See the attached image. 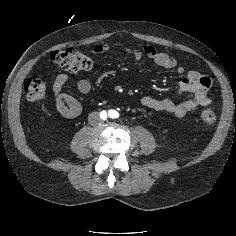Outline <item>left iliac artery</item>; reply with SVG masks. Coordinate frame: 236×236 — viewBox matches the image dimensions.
Segmentation results:
<instances>
[{
	"label": "left iliac artery",
	"instance_id": "1",
	"mask_svg": "<svg viewBox=\"0 0 236 236\" xmlns=\"http://www.w3.org/2000/svg\"><path fill=\"white\" fill-rule=\"evenodd\" d=\"M109 115H110V117H112V118H117V117L119 116L118 113H117L116 111H114V110H111L110 113H109Z\"/></svg>",
	"mask_w": 236,
	"mask_h": 236
}]
</instances>
